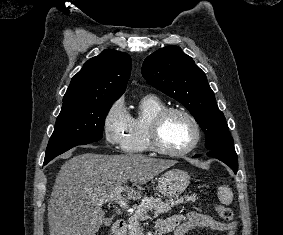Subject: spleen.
I'll list each match as a JSON object with an SVG mask.
<instances>
[{
    "instance_id": "3e777b00",
    "label": "spleen",
    "mask_w": 283,
    "mask_h": 235,
    "mask_svg": "<svg viewBox=\"0 0 283 235\" xmlns=\"http://www.w3.org/2000/svg\"><path fill=\"white\" fill-rule=\"evenodd\" d=\"M219 201L224 205H229L233 201V192L228 186H221L218 189Z\"/></svg>"
}]
</instances>
